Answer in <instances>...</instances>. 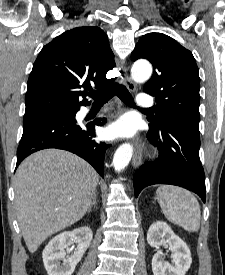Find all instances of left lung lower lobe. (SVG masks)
<instances>
[{"label":"left lung lower lobe","mask_w":225,"mask_h":275,"mask_svg":"<svg viewBox=\"0 0 225 275\" xmlns=\"http://www.w3.org/2000/svg\"><path fill=\"white\" fill-rule=\"evenodd\" d=\"M148 140L158 146L156 161L144 163L134 176V192L152 184H172L198 194L205 203V175L199 158V130L166 123L150 128Z\"/></svg>","instance_id":"0a47b994"}]
</instances>
